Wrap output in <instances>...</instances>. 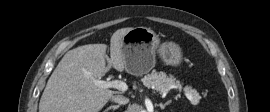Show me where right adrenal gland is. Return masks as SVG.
<instances>
[{
  "instance_id": "right-adrenal-gland-1",
  "label": "right adrenal gland",
  "mask_w": 270,
  "mask_h": 112,
  "mask_svg": "<svg viewBox=\"0 0 270 112\" xmlns=\"http://www.w3.org/2000/svg\"><path fill=\"white\" fill-rule=\"evenodd\" d=\"M120 107V105H111L109 106L104 112H108L109 110H113L115 111L116 109H118Z\"/></svg>"
}]
</instances>
